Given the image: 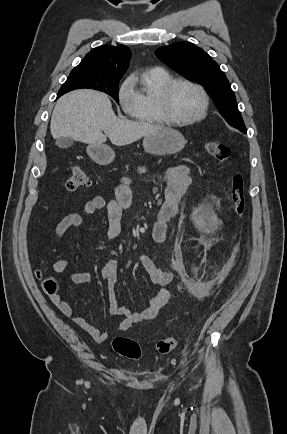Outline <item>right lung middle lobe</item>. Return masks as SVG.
I'll use <instances>...</instances> for the list:
<instances>
[{
	"mask_svg": "<svg viewBox=\"0 0 287 434\" xmlns=\"http://www.w3.org/2000/svg\"><path fill=\"white\" fill-rule=\"evenodd\" d=\"M120 79L70 73L66 82L61 86L57 98L75 89L90 88L107 93L118 103V85Z\"/></svg>",
	"mask_w": 287,
	"mask_h": 434,
	"instance_id": "1",
	"label": "right lung middle lobe"
}]
</instances>
